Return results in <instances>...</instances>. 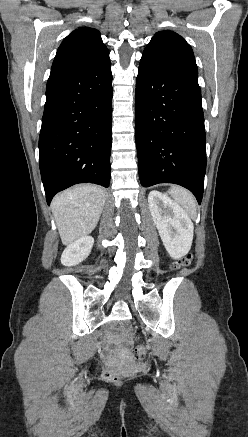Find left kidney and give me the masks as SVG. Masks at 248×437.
I'll use <instances>...</instances> for the list:
<instances>
[{
  "label": "left kidney",
  "instance_id": "5707ae66",
  "mask_svg": "<svg viewBox=\"0 0 248 437\" xmlns=\"http://www.w3.org/2000/svg\"><path fill=\"white\" fill-rule=\"evenodd\" d=\"M149 209L162 242L173 259L185 256L192 244L194 227L188 214L159 191L148 195Z\"/></svg>",
  "mask_w": 248,
  "mask_h": 437
}]
</instances>
